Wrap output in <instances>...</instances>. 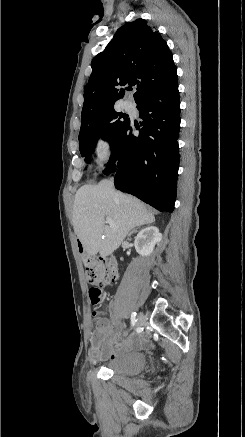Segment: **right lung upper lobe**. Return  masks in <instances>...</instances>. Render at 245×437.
I'll return each mask as SVG.
<instances>
[{
	"mask_svg": "<svg viewBox=\"0 0 245 437\" xmlns=\"http://www.w3.org/2000/svg\"><path fill=\"white\" fill-rule=\"evenodd\" d=\"M91 66L92 73L84 88L81 126L114 108L125 94L121 86L136 85V102L178 84L167 43L144 19L119 28L105 50L93 58Z\"/></svg>",
	"mask_w": 245,
	"mask_h": 437,
	"instance_id": "1",
	"label": "right lung upper lobe"
}]
</instances>
